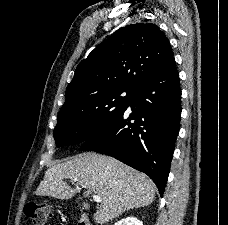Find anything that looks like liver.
Here are the masks:
<instances>
[{"mask_svg":"<svg viewBox=\"0 0 228 225\" xmlns=\"http://www.w3.org/2000/svg\"><path fill=\"white\" fill-rule=\"evenodd\" d=\"M63 179H71L75 189H71ZM80 187L101 197L98 211L93 215L98 225L110 223L130 209L148 207L155 199V185L147 175L134 171L113 157L96 153H82L72 161L51 165L36 195L72 199L80 193Z\"/></svg>","mask_w":228,"mask_h":225,"instance_id":"liver-1","label":"liver"}]
</instances>
